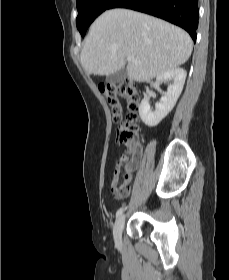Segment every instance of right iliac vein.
<instances>
[{"instance_id":"63e3f726","label":"right iliac vein","mask_w":229,"mask_h":280,"mask_svg":"<svg viewBox=\"0 0 229 280\" xmlns=\"http://www.w3.org/2000/svg\"><path fill=\"white\" fill-rule=\"evenodd\" d=\"M124 222H125V216L122 215L117 219V221L114 225L113 236H114V241L116 244L121 243V235H122V231L124 228Z\"/></svg>"}]
</instances>
